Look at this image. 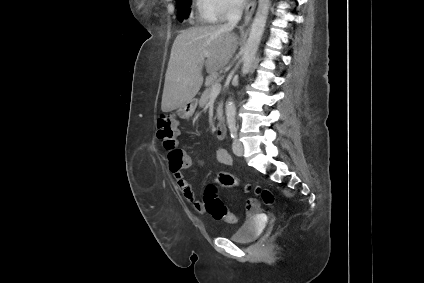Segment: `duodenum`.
<instances>
[{
	"instance_id": "duodenum-1",
	"label": "duodenum",
	"mask_w": 424,
	"mask_h": 283,
	"mask_svg": "<svg viewBox=\"0 0 424 283\" xmlns=\"http://www.w3.org/2000/svg\"><path fill=\"white\" fill-rule=\"evenodd\" d=\"M215 132L218 138H223L225 135V119L223 116L219 117L217 124H216V128H215Z\"/></svg>"
}]
</instances>
